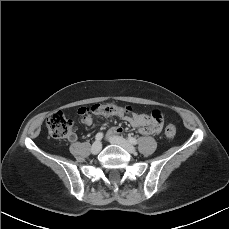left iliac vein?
Here are the masks:
<instances>
[{
  "label": "left iliac vein",
  "mask_w": 229,
  "mask_h": 229,
  "mask_svg": "<svg viewBox=\"0 0 229 229\" xmlns=\"http://www.w3.org/2000/svg\"><path fill=\"white\" fill-rule=\"evenodd\" d=\"M109 141L113 144H117L121 147H123L126 151H128L129 153H135L136 149L135 147L130 144L127 140H125L122 137L119 136H113L109 139Z\"/></svg>",
  "instance_id": "1"
}]
</instances>
